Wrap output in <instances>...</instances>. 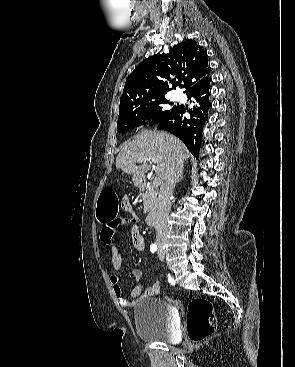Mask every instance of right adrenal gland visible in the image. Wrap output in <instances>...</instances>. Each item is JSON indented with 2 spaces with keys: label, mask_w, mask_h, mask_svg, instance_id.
<instances>
[{
  "label": "right adrenal gland",
  "mask_w": 295,
  "mask_h": 367,
  "mask_svg": "<svg viewBox=\"0 0 295 367\" xmlns=\"http://www.w3.org/2000/svg\"><path fill=\"white\" fill-rule=\"evenodd\" d=\"M183 169L181 170V172H180V176H179V179H178V183L183 179Z\"/></svg>",
  "instance_id": "1"
}]
</instances>
